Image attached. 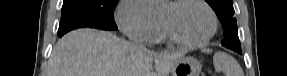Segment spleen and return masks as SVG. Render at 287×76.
<instances>
[{"label": "spleen", "instance_id": "obj_1", "mask_svg": "<svg viewBox=\"0 0 287 76\" xmlns=\"http://www.w3.org/2000/svg\"><path fill=\"white\" fill-rule=\"evenodd\" d=\"M206 53H211L212 50L204 49ZM214 67L218 71H223L225 76H244L241 66L232 56L227 53L218 51L213 56Z\"/></svg>", "mask_w": 287, "mask_h": 76}]
</instances>
